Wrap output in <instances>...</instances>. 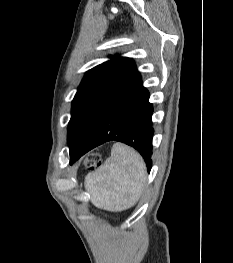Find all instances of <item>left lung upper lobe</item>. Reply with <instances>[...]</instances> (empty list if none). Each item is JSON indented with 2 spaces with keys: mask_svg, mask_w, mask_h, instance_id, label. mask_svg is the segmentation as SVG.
Returning <instances> with one entry per match:
<instances>
[{
  "mask_svg": "<svg viewBox=\"0 0 233 263\" xmlns=\"http://www.w3.org/2000/svg\"><path fill=\"white\" fill-rule=\"evenodd\" d=\"M87 71L72 101L68 126L69 146H83L109 103L119 92L136 65L126 57H117Z\"/></svg>",
  "mask_w": 233,
  "mask_h": 263,
  "instance_id": "5c2ea615",
  "label": "left lung upper lobe"
}]
</instances>
